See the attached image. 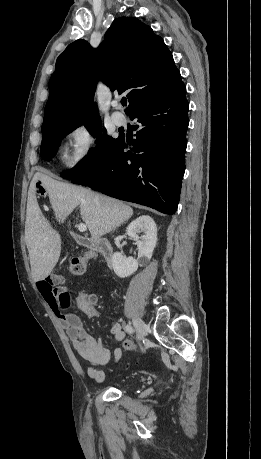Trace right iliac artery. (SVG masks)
<instances>
[{
    "mask_svg": "<svg viewBox=\"0 0 261 459\" xmlns=\"http://www.w3.org/2000/svg\"><path fill=\"white\" fill-rule=\"evenodd\" d=\"M125 330H126V332L129 333V334L134 333V329H133V327H132L131 325H126V326H125Z\"/></svg>",
    "mask_w": 261,
    "mask_h": 459,
    "instance_id": "1",
    "label": "right iliac artery"
}]
</instances>
